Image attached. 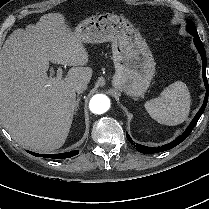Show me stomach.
<instances>
[{"instance_id": "0dacf381", "label": "stomach", "mask_w": 209, "mask_h": 209, "mask_svg": "<svg viewBox=\"0 0 209 209\" xmlns=\"http://www.w3.org/2000/svg\"><path fill=\"white\" fill-rule=\"evenodd\" d=\"M73 34L82 43L111 42L115 74L112 85L141 97L155 74V61L145 39L122 15L102 13L80 22Z\"/></svg>"}]
</instances>
